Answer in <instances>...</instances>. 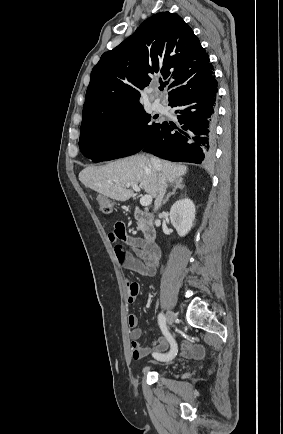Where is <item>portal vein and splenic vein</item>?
Here are the masks:
<instances>
[{
  "label": "portal vein and splenic vein",
  "instance_id": "18ae733b",
  "mask_svg": "<svg viewBox=\"0 0 283 434\" xmlns=\"http://www.w3.org/2000/svg\"><path fill=\"white\" fill-rule=\"evenodd\" d=\"M126 187H128V188L131 187L136 192L140 191V186H138V184H130V183H128L126 185ZM151 202H152V196H150V195H145V196L141 197V199H140V204L142 206H148V205L151 204Z\"/></svg>",
  "mask_w": 283,
  "mask_h": 434
}]
</instances>
